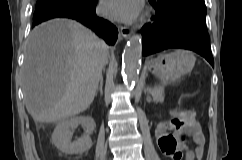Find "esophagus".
<instances>
[{
	"label": "esophagus",
	"mask_w": 242,
	"mask_h": 160,
	"mask_svg": "<svg viewBox=\"0 0 242 160\" xmlns=\"http://www.w3.org/2000/svg\"><path fill=\"white\" fill-rule=\"evenodd\" d=\"M132 33L133 31L130 28L126 26L120 27V34L122 35V37L128 39L131 37Z\"/></svg>",
	"instance_id": "1"
}]
</instances>
